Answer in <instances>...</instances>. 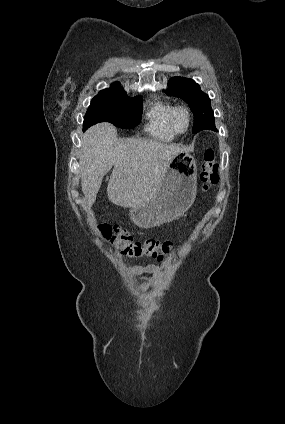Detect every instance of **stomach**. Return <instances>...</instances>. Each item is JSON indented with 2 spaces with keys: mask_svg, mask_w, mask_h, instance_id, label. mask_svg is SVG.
Instances as JSON below:
<instances>
[{
  "mask_svg": "<svg viewBox=\"0 0 285 424\" xmlns=\"http://www.w3.org/2000/svg\"><path fill=\"white\" fill-rule=\"evenodd\" d=\"M196 194V160L188 153L181 152L170 161L155 196L142 205L132 207L130 218L142 228L160 226L187 211Z\"/></svg>",
  "mask_w": 285,
  "mask_h": 424,
  "instance_id": "1",
  "label": "stomach"
}]
</instances>
